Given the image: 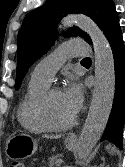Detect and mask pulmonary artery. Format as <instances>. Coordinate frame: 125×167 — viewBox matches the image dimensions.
<instances>
[{"instance_id": "e3ab8cb5", "label": "pulmonary artery", "mask_w": 125, "mask_h": 167, "mask_svg": "<svg viewBox=\"0 0 125 167\" xmlns=\"http://www.w3.org/2000/svg\"><path fill=\"white\" fill-rule=\"evenodd\" d=\"M89 54L86 41L82 39L67 41L37 63L32 71V77L50 84L56 72L67 59L87 57Z\"/></svg>"}]
</instances>
